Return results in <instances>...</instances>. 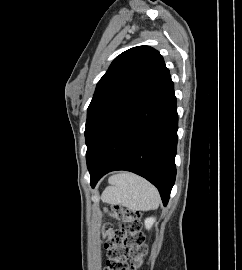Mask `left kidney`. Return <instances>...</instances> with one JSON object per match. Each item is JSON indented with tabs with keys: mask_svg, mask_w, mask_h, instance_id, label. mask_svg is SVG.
Wrapping results in <instances>:
<instances>
[{
	"mask_svg": "<svg viewBox=\"0 0 242 270\" xmlns=\"http://www.w3.org/2000/svg\"><path fill=\"white\" fill-rule=\"evenodd\" d=\"M154 222H155V218H153V217L146 218L145 219V222H144L146 229L149 230L152 227V225H153Z\"/></svg>",
	"mask_w": 242,
	"mask_h": 270,
	"instance_id": "1",
	"label": "left kidney"
}]
</instances>
